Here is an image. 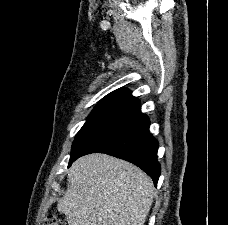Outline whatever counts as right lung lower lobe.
<instances>
[{
  "label": "right lung lower lobe",
  "instance_id": "98d812e1",
  "mask_svg": "<svg viewBox=\"0 0 228 225\" xmlns=\"http://www.w3.org/2000/svg\"><path fill=\"white\" fill-rule=\"evenodd\" d=\"M149 125V118L140 112V102L134 98L83 139L71 152L69 166L83 155L106 153L137 165L156 186L160 176L158 141L149 133Z\"/></svg>",
  "mask_w": 228,
  "mask_h": 225
}]
</instances>
